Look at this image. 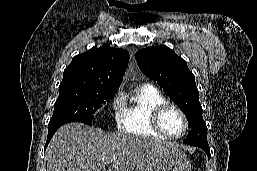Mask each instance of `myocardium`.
<instances>
[{"label": "myocardium", "mask_w": 257, "mask_h": 171, "mask_svg": "<svg viewBox=\"0 0 257 171\" xmlns=\"http://www.w3.org/2000/svg\"><path fill=\"white\" fill-rule=\"evenodd\" d=\"M169 109L176 110L182 117V120L184 123V130L178 136H172V135L168 134L162 126V122H161L162 117H163L164 113ZM151 125H152V128L156 132H158L159 134L164 136L166 139H173V140H177V139L184 137L189 129V122H188V118H187L185 112L179 106H177L176 104L170 103V102H165V103L157 106L153 110L152 117H151Z\"/></svg>", "instance_id": "myocardium-1"}]
</instances>
